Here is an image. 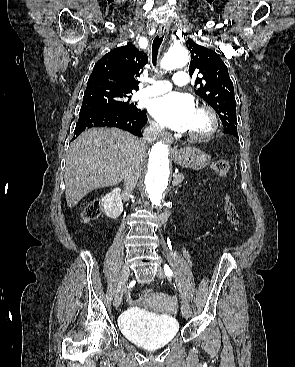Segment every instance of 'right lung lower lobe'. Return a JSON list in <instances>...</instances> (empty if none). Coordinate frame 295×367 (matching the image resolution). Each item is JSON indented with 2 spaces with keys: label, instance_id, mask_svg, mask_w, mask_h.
Listing matches in <instances>:
<instances>
[{
  "label": "right lung lower lobe",
  "instance_id": "1",
  "mask_svg": "<svg viewBox=\"0 0 295 367\" xmlns=\"http://www.w3.org/2000/svg\"><path fill=\"white\" fill-rule=\"evenodd\" d=\"M146 123V112L140 109L136 111H84L79 114L73 139L77 138L85 129L92 127H117L142 137L141 129Z\"/></svg>",
  "mask_w": 295,
  "mask_h": 367
}]
</instances>
